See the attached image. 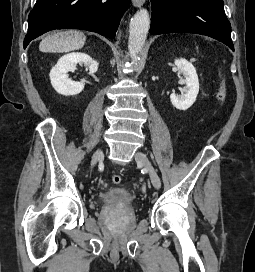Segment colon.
Segmentation results:
<instances>
[{"label": "colon", "instance_id": "5ec220e1", "mask_svg": "<svg viewBox=\"0 0 255 272\" xmlns=\"http://www.w3.org/2000/svg\"><path fill=\"white\" fill-rule=\"evenodd\" d=\"M220 79H221V86L218 93V100L220 101L221 104H224L226 101V93H227L224 72L220 73ZM112 182L114 184H119L121 182V177L119 175H113Z\"/></svg>", "mask_w": 255, "mask_h": 272}]
</instances>
